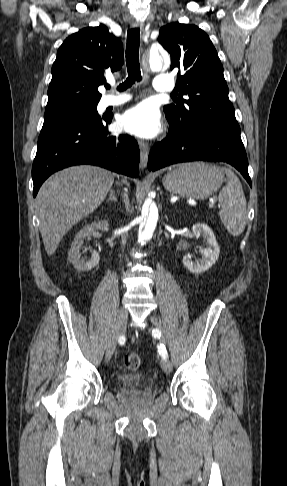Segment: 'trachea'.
<instances>
[{
	"label": "trachea",
	"instance_id": "1",
	"mask_svg": "<svg viewBox=\"0 0 287 486\" xmlns=\"http://www.w3.org/2000/svg\"><path fill=\"white\" fill-rule=\"evenodd\" d=\"M139 45H140V29L132 28L127 33V46H126V66L128 72V78L125 82L118 86V91H125L131 87L135 81L142 80L140 63H139ZM106 88H110V85H106Z\"/></svg>",
	"mask_w": 287,
	"mask_h": 486
}]
</instances>
